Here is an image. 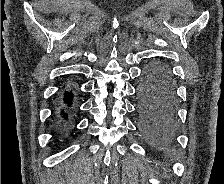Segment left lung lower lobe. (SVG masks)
<instances>
[{
  "instance_id": "1",
  "label": "left lung lower lobe",
  "mask_w": 224,
  "mask_h": 184,
  "mask_svg": "<svg viewBox=\"0 0 224 184\" xmlns=\"http://www.w3.org/2000/svg\"><path fill=\"white\" fill-rule=\"evenodd\" d=\"M140 130L159 146L172 143L176 133L175 83L170 70L152 62L143 71L138 87Z\"/></svg>"
}]
</instances>
